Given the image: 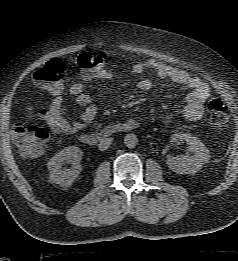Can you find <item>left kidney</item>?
I'll list each match as a JSON object with an SVG mask.
<instances>
[{
    "mask_svg": "<svg viewBox=\"0 0 238 261\" xmlns=\"http://www.w3.org/2000/svg\"><path fill=\"white\" fill-rule=\"evenodd\" d=\"M186 141L188 150L193 155L172 156L168 155L166 163L168 167L179 174H195L204 164L208 163L210 155L209 150L195 136L188 133H175L171 136V142Z\"/></svg>",
    "mask_w": 238,
    "mask_h": 261,
    "instance_id": "obj_1",
    "label": "left kidney"
}]
</instances>
